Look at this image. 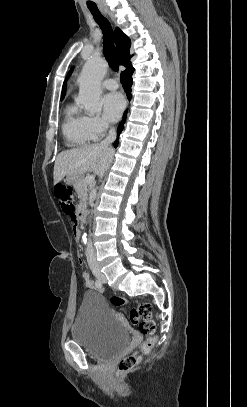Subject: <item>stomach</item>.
Returning <instances> with one entry per match:
<instances>
[{
    "instance_id": "obj_1",
    "label": "stomach",
    "mask_w": 247,
    "mask_h": 407,
    "mask_svg": "<svg viewBox=\"0 0 247 407\" xmlns=\"http://www.w3.org/2000/svg\"><path fill=\"white\" fill-rule=\"evenodd\" d=\"M80 179H82V176L79 175H67L65 182L67 184H75L77 183Z\"/></svg>"
}]
</instances>
